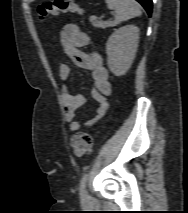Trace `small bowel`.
Listing matches in <instances>:
<instances>
[{
	"mask_svg": "<svg viewBox=\"0 0 188 213\" xmlns=\"http://www.w3.org/2000/svg\"><path fill=\"white\" fill-rule=\"evenodd\" d=\"M60 42L66 55L78 67L92 72L94 80L92 97L97 106L94 117L84 122L85 127H92L105 116L109 108L108 97L111 94L112 87L108 70L103 65L100 53L96 51L85 53L82 51V48L88 46L91 40L88 34L82 31L78 25H65L60 32ZM71 72L72 69L69 64H60L59 77L62 80H67ZM62 101L65 109V121L69 124L71 132H77L81 128V123L75 120V114L85 104V97L80 94H74L68 88H64Z\"/></svg>",
	"mask_w": 188,
	"mask_h": 213,
	"instance_id": "1",
	"label": "small bowel"
}]
</instances>
